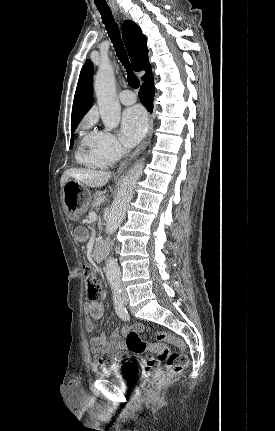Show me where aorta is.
Instances as JSON below:
<instances>
[{
    "label": "aorta",
    "instance_id": "aorta-1",
    "mask_svg": "<svg viewBox=\"0 0 275 431\" xmlns=\"http://www.w3.org/2000/svg\"><path fill=\"white\" fill-rule=\"evenodd\" d=\"M94 89L102 122L106 129L112 130L119 125L121 106L116 95L114 72L109 63L104 62L100 65L95 78ZM143 167L144 158L137 161L125 174L106 221V232L109 235L113 234L122 223ZM105 272L111 284L120 281L121 272L115 258L111 256L107 258Z\"/></svg>",
    "mask_w": 275,
    "mask_h": 431
}]
</instances>
